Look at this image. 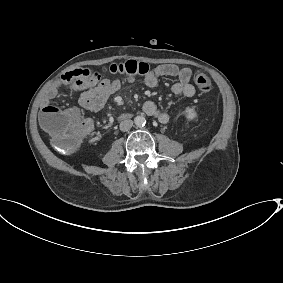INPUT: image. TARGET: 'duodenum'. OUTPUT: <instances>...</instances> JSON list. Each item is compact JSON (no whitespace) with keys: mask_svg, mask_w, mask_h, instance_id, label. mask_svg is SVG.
<instances>
[{"mask_svg":"<svg viewBox=\"0 0 283 283\" xmlns=\"http://www.w3.org/2000/svg\"><path fill=\"white\" fill-rule=\"evenodd\" d=\"M125 117H121L120 119H124Z\"/></svg>","mask_w":283,"mask_h":283,"instance_id":"410a0bca","label":"duodenum"}]
</instances>
